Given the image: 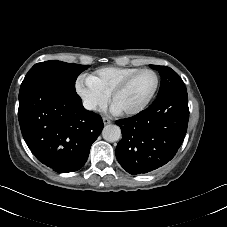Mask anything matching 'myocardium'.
<instances>
[{"mask_svg":"<svg viewBox=\"0 0 227 227\" xmlns=\"http://www.w3.org/2000/svg\"><path fill=\"white\" fill-rule=\"evenodd\" d=\"M152 73L155 77V85L150 93V95L148 96V98L137 108L132 109V110H127V111H121L124 115H128V116H132V115H137L141 112H143L152 102L153 98L155 97L158 89H159V85H160V78L158 76V74L153 70V69H148V68H144V69H140L139 71L135 72L134 74L130 75L129 77H127L125 80H123L119 85H117L114 90L111 93V101L113 103H115V99L116 97L121 94L123 91H125L129 85L131 84V82L140 74L142 73Z\"/></svg>","mask_w":227,"mask_h":227,"instance_id":"obj_1","label":"myocardium"}]
</instances>
